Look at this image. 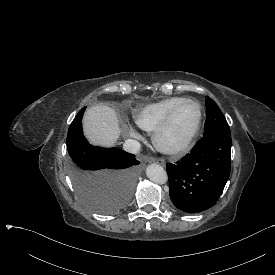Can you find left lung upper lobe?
Returning <instances> with one entry per match:
<instances>
[{"mask_svg":"<svg viewBox=\"0 0 275 275\" xmlns=\"http://www.w3.org/2000/svg\"><path fill=\"white\" fill-rule=\"evenodd\" d=\"M206 121L204 125V137L211 136L218 132H229V125L220 111L218 105L209 97H206Z\"/></svg>","mask_w":275,"mask_h":275,"instance_id":"obj_1","label":"left lung upper lobe"}]
</instances>
